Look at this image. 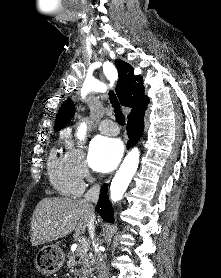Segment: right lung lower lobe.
<instances>
[{
    "instance_id": "right-lung-lower-lobe-1",
    "label": "right lung lower lobe",
    "mask_w": 221,
    "mask_h": 278,
    "mask_svg": "<svg viewBox=\"0 0 221 278\" xmlns=\"http://www.w3.org/2000/svg\"><path fill=\"white\" fill-rule=\"evenodd\" d=\"M144 130V117L143 118H132L128 120L127 123V133L129 141L127 143V148H131L142 136ZM108 186L104 184L101 187L100 196L98 203L95 207L99 215L107 222H114V214L112 205L107 196Z\"/></svg>"
}]
</instances>
